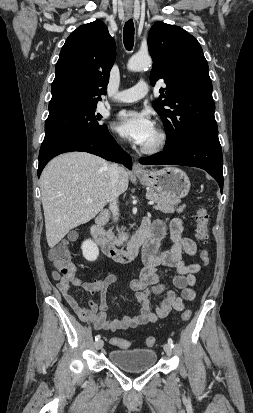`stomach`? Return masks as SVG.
Segmentation results:
<instances>
[{
    "label": "stomach",
    "mask_w": 253,
    "mask_h": 413,
    "mask_svg": "<svg viewBox=\"0 0 253 413\" xmlns=\"http://www.w3.org/2000/svg\"><path fill=\"white\" fill-rule=\"evenodd\" d=\"M141 184L155 192L172 199L185 197L190 190L191 183L188 175L180 168L166 166L160 170L145 171L137 175Z\"/></svg>",
    "instance_id": "1"
}]
</instances>
